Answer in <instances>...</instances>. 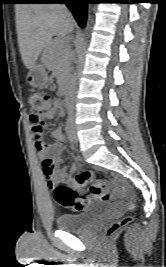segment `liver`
Wrapping results in <instances>:
<instances>
[{
	"label": "liver",
	"instance_id": "1",
	"mask_svg": "<svg viewBox=\"0 0 166 267\" xmlns=\"http://www.w3.org/2000/svg\"><path fill=\"white\" fill-rule=\"evenodd\" d=\"M15 19L19 51L27 69L35 65L54 35L65 36L75 24L68 10L58 4L19 3Z\"/></svg>",
	"mask_w": 166,
	"mask_h": 267
}]
</instances>
